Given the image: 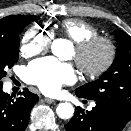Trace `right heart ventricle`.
Returning a JSON list of instances; mask_svg holds the SVG:
<instances>
[{
	"label": "right heart ventricle",
	"mask_w": 131,
	"mask_h": 131,
	"mask_svg": "<svg viewBox=\"0 0 131 131\" xmlns=\"http://www.w3.org/2000/svg\"><path fill=\"white\" fill-rule=\"evenodd\" d=\"M59 31L74 43L99 35V30L93 24L82 19H65L59 25Z\"/></svg>",
	"instance_id": "right-heart-ventricle-1"
}]
</instances>
